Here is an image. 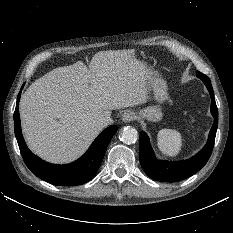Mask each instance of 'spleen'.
Returning <instances> with one entry per match:
<instances>
[{
    "label": "spleen",
    "mask_w": 233,
    "mask_h": 233,
    "mask_svg": "<svg viewBox=\"0 0 233 233\" xmlns=\"http://www.w3.org/2000/svg\"><path fill=\"white\" fill-rule=\"evenodd\" d=\"M157 145L164 155L175 157L181 151L182 136L178 131L162 129L158 132Z\"/></svg>",
    "instance_id": "obj_1"
}]
</instances>
